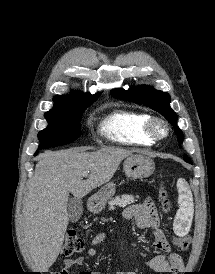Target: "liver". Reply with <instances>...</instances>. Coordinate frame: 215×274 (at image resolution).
Returning a JSON list of instances; mask_svg holds the SVG:
<instances>
[{"mask_svg":"<svg viewBox=\"0 0 215 274\" xmlns=\"http://www.w3.org/2000/svg\"><path fill=\"white\" fill-rule=\"evenodd\" d=\"M130 151L104 147L95 152L75 148L46 152L36 165L22 208L25 245L34 267L47 272L56 261L64 241L69 216V194L81 199L107 183ZM89 171L87 180L83 172Z\"/></svg>","mask_w":215,"mask_h":274,"instance_id":"liver-1","label":"liver"}]
</instances>
